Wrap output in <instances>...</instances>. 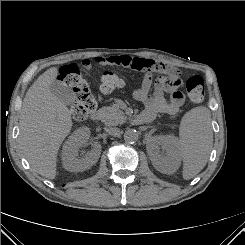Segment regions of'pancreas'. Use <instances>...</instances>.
Listing matches in <instances>:
<instances>
[{
  "label": "pancreas",
  "mask_w": 245,
  "mask_h": 245,
  "mask_svg": "<svg viewBox=\"0 0 245 245\" xmlns=\"http://www.w3.org/2000/svg\"><path fill=\"white\" fill-rule=\"evenodd\" d=\"M99 112L101 115V121L108 126H117L126 120V116L117 104H114L111 107H103Z\"/></svg>",
  "instance_id": "obj_1"
}]
</instances>
